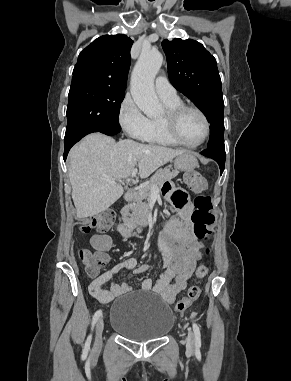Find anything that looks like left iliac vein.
Here are the masks:
<instances>
[{
    "label": "left iliac vein",
    "instance_id": "obj_1",
    "mask_svg": "<svg viewBox=\"0 0 291 381\" xmlns=\"http://www.w3.org/2000/svg\"><path fill=\"white\" fill-rule=\"evenodd\" d=\"M186 347L188 350L193 351L195 347V337L193 332H189L186 340Z\"/></svg>",
    "mask_w": 291,
    "mask_h": 381
}]
</instances>
